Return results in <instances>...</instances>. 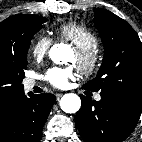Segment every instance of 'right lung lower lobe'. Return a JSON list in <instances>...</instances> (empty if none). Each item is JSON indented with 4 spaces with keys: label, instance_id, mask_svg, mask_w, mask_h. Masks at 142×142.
Listing matches in <instances>:
<instances>
[{
    "label": "right lung lower lobe",
    "instance_id": "98d812e1",
    "mask_svg": "<svg viewBox=\"0 0 142 142\" xmlns=\"http://www.w3.org/2000/svg\"><path fill=\"white\" fill-rule=\"evenodd\" d=\"M25 94L17 101L0 127V142H39L42 129L56 98L53 94Z\"/></svg>",
    "mask_w": 142,
    "mask_h": 142
}]
</instances>
